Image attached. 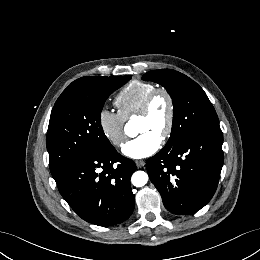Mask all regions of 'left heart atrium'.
<instances>
[{
  "instance_id": "left-heart-atrium-1",
  "label": "left heart atrium",
  "mask_w": 260,
  "mask_h": 260,
  "mask_svg": "<svg viewBox=\"0 0 260 260\" xmlns=\"http://www.w3.org/2000/svg\"><path fill=\"white\" fill-rule=\"evenodd\" d=\"M160 146L161 137L152 132H144L126 142L122 147V152L130 158L142 159L154 154Z\"/></svg>"
}]
</instances>
